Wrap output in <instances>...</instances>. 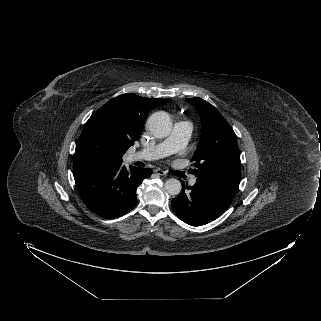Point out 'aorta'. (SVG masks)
<instances>
[{"label":"aorta","instance_id":"obj_1","mask_svg":"<svg viewBox=\"0 0 321 321\" xmlns=\"http://www.w3.org/2000/svg\"><path fill=\"white\" fill-rule=\"evenodd\" d=\"M150 132L158 138L167 137L172 129V121L168 113L158 111L153 113L147 120ZM165 190L170 195H178L181 192V183L178 179H168L164 184Z\"/></svg>","mask_w":321,"mask_h":321}]
</instances>
